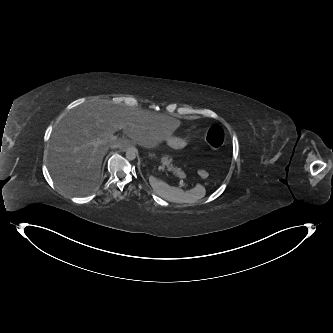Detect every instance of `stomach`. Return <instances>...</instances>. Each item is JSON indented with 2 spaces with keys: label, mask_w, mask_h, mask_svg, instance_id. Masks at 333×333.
Returning <instances> with one entry per match:
<instances>
[{
  "label": "stomach",
  "mask_w": 333,
  "mask_h": 333,
  "mask_svg": "<svg viewBox=\"0 0 333 333\" xmlns=\"http://www.w3.org/2000/svg\"><path fill=\"white\" fill-rule=\"evenodd\" d=\"M200 133L199 127H193L192 130L186 135L184 139L177 137H168L166 141L176 149H182L187 144L197 139V135Z\"/></svg>",
  "instance_id": "stomach-1"
}]
</instances>
